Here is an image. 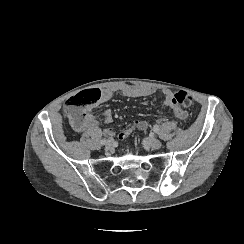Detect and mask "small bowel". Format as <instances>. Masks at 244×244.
Wrapping results in <instances>:
<instances>
[{
	"mask_svg": "<svg viewBox=\"0 0 244 244\" xmlns=\"http://www.w3.org/2000/svg\"><path fill=\"white\" fill-rule=\"evenodd\" d=\"M100 93V99L98 102L92 106L86 107L90 117L91 124L88 129L94 128L98 124V115L95 113V110L99 106V104L106 102L113 98L114 96H124L131 98H142L152 95L155 91L150 87H141V86H130V85H112L101 90H98ZM164 96V105L169 107L173 113V115L179 121H186L188 119V112L175 105L172 102V92L169 89L162 90ZM100 119L105 123H111L113 120V116L110 110H105L99 115ZM165 119H159V122H164ZM149 127L148 122H144L141 126H138V129L145 130ZM112 131V129H110Z\"/></svg>",
	"mask_w": 244,
	"mask_h": 244,
	"instance_id": "obj_1",
	"label": "small bowel"
}]
</instances>
